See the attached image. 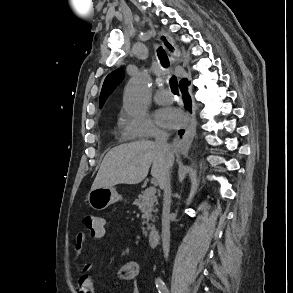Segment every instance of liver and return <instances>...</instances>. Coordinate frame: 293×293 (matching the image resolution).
I'll return each instance as SVG.
<instances>
[{"mask_svg":"<svg viewBox=\"0 0 293 293\" xmlns=\"http://www.w3.org/2000/svg\"><path fill=\"white\" fill-rule=\"evenodd\" d=\"M173 163L174 156L171 167ZM151 164V175L160 184L166 173L168 160L154 142L142 140L117 146L104 157L91 190L112 188L118 184H138L148 175Z\"/></svg>","mask_w":293,"mask_h":293,"instance_id":"obj_1","label":"liver"}]
</instances>
